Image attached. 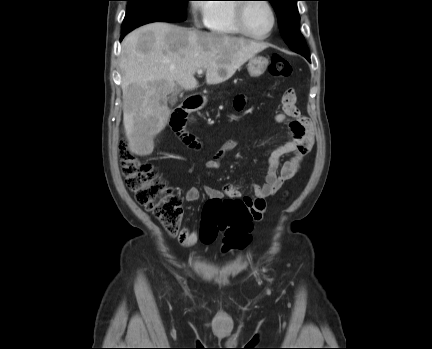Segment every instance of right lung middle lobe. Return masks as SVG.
I'll use <instances>...</instances> for the list:
<instances>
[{
	"label": "right lung middle lobe",
	"mask_w": 432,
	"mask_h": 349,
	"mask_svg": "<svg viewBox=\"0 0 432 349\" xmlns=\"http://www.w3.org/2000/svg\"><path fill=\"white\" fill-rule=\"evenodd\" d=\"M122 32L155 21L181 22L186 19L189 0H127Z\"/></svg>",
	"instance_id": "1"
}]
</instances>
